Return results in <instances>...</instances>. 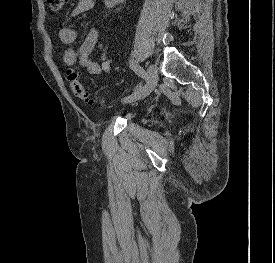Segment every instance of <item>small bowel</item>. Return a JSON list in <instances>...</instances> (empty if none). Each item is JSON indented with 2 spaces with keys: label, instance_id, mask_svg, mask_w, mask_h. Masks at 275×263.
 Listing matches in <instances>:
<instances>
[{
  "label": "small bowel",
  "instance_id": "1",
  "mask_svg": "<svg viewBox=\"0 0 275 263\" xmlns=\"http://www.w3.org/2000/svg\"><path fill=\"white\" fill-rule=\"evenodd\" d=\"M94 7V0H79L77 5L70 13L71 18H76L81 14L91 10ZM60 40L66 45H71L77 40V31L71 27H63L60 32ZM99 38V30L95 27L91 28L80 46L75 49L69 47L63 54L64 63L76 70L85 69L91 76H100L103 73H108L111 68V60L104 58L100 61H94L90 58Z\"/></svg>",
  "mask_w": 275,
  "mask_h": 263
}]
</instances>
